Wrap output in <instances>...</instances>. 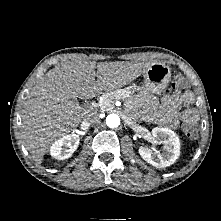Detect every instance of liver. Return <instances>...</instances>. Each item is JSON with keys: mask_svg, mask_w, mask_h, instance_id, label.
Returning a JSON list of instances; mask_svg holds the SVG:
<instances>
[{"mask_svg": "<svg viewBox=\"0 0 221 221\" xmlns=\"http://www.w3.org/2000/svg\"><path fill=\"white\" fill-rule=\"evenodd\" d=\"M149 66L140 62L96 65L91 61H69L48 71L32 88L21 111V138L34 161L40 164L54 141L82 122L77 98L91 99L102 91L125 86Z\"/></svg>", "mask_w": 221, "mask_h": 221, "instance_id": "liver-1", "label": "liver"}]
</instances>
